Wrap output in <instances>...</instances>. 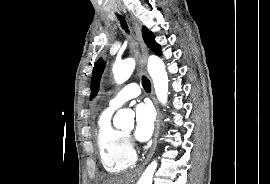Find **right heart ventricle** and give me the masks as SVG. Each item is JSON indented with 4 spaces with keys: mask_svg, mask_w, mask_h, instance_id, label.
I'll return each instance as SVG.
<instances>
[{
    "mask_svg": "<svg viewBox=\"0 0 270 184\" xmlns=\"http://www.w3.org/2000/svg\"><path fill=\"white\" fill-rule=\"evenodd\" d=\"M112 109H105L97 122L96 140L103 167L110 173H119L136 160L126 135L111 124Z\"/></svg>",
    "mask_w": 270,
    "mask_h": 184,
    "instance_id": "1",
    "label": "right heart ventricle"
}]
</instances>
